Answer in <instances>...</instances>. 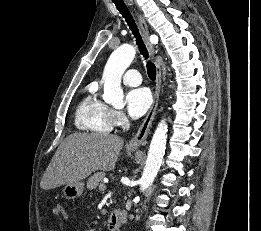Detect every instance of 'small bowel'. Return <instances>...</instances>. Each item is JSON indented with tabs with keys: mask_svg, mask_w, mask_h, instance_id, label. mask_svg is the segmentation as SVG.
I'll return each mask as SVG.
<instances>
[{
	"mask_svg": "<svg viewBox=\"0 0 261 231\" xmlns=\"http://www.w3.org/2000/svg\"><path fill=\"white\" fill-rule=\"evenodd\" d=\"M57 217H66V212L61 205H55L51 210V222L49 226V231H54L55 219Z\"/></svg>",
	"mask_w": 261,
	"mask_h": 231,
	"instance_id": "small-bowel-1",
	"label": "small bowel"
}]
</instances>
